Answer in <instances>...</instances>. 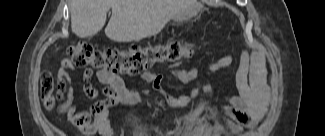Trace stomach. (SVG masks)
<instances>
[{"mask_svg": "<svg viewBox=\"0 0 325 136\" xmlns=\"http://www.w3.org/2000/svg\"><path fill=\"white\" fill-rule=\"evenodd\" d=\"M183 18H184L183 15H177L173 18V20L176 22H182Z\"/></svg>", "mask_w": 325, "mask_h": 136, "instance_id": "1", "label": "stomach"}]
</instances>
